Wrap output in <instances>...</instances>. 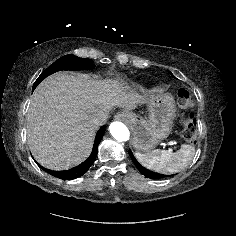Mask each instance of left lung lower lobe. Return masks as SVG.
Segmentation results:
<instances>
[{"mask_svg":"<svg viewBox=\"0 0 236 236\" xmlns=\"http://www.w3.org/2000/svg\"><path fill=\"white\" fill-rule=\"evenodd\" d=\"M129 155H130L132 161L134 162V164L136 165V167L139 169V171L143 175H145L146 177L151 178V179H158V178L167 177V175H162V174H158V173L152 172V171L144 168L143 166H141L139 164V162L136 160V158L134 157V155L132 154L131 150H129Z\"/></svg>","mask_w":236,"mask_h":236,"instance_id":"obj_1","label":"left lung lower lobe"}]
</instances>
